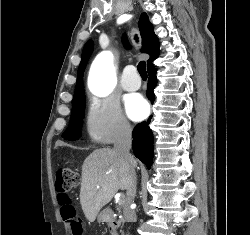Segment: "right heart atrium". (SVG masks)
Returning <instances> with one entry per match:
<instances>
[{
  "label": "right heart atrium",
  "instance_id": "obj_1",
  "mask_svg": "<svg viewBox=\"0 0 250 235\" xmlns=\"http://www.w3.org/2000/svg\"><path fill=\"white\" fill-rule=\"evenodd\" d=\"M89 137L102 143H113L131 137L132 127L119 105L107 98H92L85 118Z\"/></svg>",
  "mask_w": 250,
  "mask_h": 235
}]
</instances>
